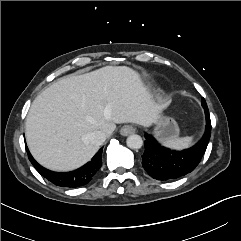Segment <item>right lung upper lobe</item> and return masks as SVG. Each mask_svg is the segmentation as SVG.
Masks as SVG:
<instances>
[{"label":"right lung upper lobe","mask_w":241,"mask_h":241,"mask_svg":"<svg viewBox=\"0 0 241 241\" xmlns=\"http://www.w3.org/2000/svg\"><path fill=\"white\" fill-rule=\"evenodd\" d=\"M51 182L54 183L55 185H58V183L57 182H53V180H51Z\"/></svg>","instance_id":"right-lung-upper-lobe-1"}]
</instances>
